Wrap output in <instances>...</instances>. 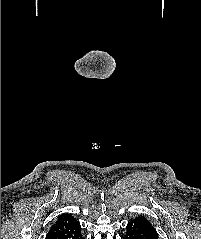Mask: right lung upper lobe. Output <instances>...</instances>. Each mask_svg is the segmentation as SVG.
Listing matches in <instances>:
<instances>
[{
  "label": "right lung upper lobe",
  "instance_id": "right-lung-upper-lobe-1",
  "mask_svg": "<svg viewBox=\"0 0 201 239\" xmlns=\"http://www.w3.org/2000/svg\"><path fill=\"white\" fill-rule=\"evenodd\" d=\"M80 223L70 214H61L51 226L45 239H79Z\"/></svg>",
  "mask_w": 201,
  "mask_h": 239
}]
</instances>
